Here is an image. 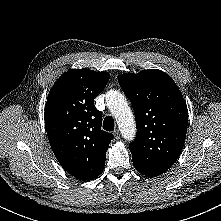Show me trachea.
<instances>
[{"label":"trachea","mask_w":221,"mask_h":221,"mask_svg":"<svg viewBox=\"0 0 221 221\" xmlns=\"http://www.w3.org/2000/svg\"><path fill=\"white\" fill-rule=\"evenodd\" d=\"M115 124L114 119L111 116H107L103 122V129L106 131H114Z\"/></svg>","instance_id":"trachea-1"}]
</instances>
